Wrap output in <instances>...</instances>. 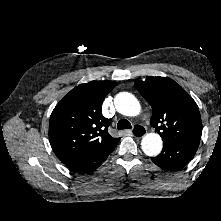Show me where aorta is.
I'll list each match as a JSON object with an SVG mask.
<instances>
[{
	"label": "aorta",
	"instance_id": "obj_1",
	"mask_svg": "<svg viewBox=\"0 0 221 221\" xmlns=\"http://www.w3.org/2000/svg\"><path fill=\"white\" fill-rule=\"evenodd\" d=\"M114 104L117 111L125 116H136L141 111V106L137 98L128 92L117 94ZM162 147V138L157 133H148L142 138L141 148L147 156H157L161 152Z\"/></svg>",
	"mask_w": 221,
	"mask_h": 221
}]
</instances>
